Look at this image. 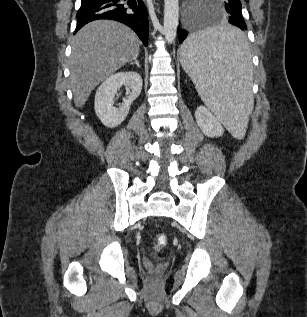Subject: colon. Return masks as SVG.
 <instances>
[{
  "label": "colon",
  "instance_id": "colon-1",
  "mask_svg": "<svg viewBox=\"0 0 307 317\" xmlns=\"http://www.w3.org/2000/svg\"><path fill=\"white\" fill-rule=\"evenodd\" d=\"M166 244V237L164 235H159L154 241V249L156 251L161 250Z\"/></svg>",
  "mask_w": 307,
  "mask_h": 317
}]
</instances>
